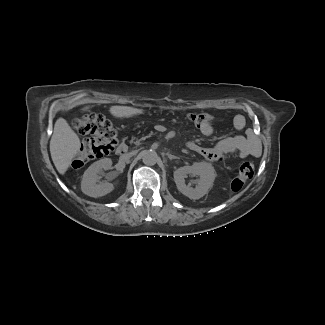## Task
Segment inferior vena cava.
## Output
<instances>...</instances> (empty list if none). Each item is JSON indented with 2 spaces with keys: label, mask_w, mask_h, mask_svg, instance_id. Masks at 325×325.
<instances>
[{
  "label": "inferior vena cava",
  "mask_w": 325,
  "mask_h": 325,
  "mask_svg": "<svg viewBox=\"0 0 325 325\" xmlns=\"http://www.w3.org/2000/svg\"><path fill=\"white\" fill-rule=\"evenodd\" d=\"M130 157H131V154H126V155L123 156V158H124L125 160H128Z\"/></svg>",
  "instance_id": "obj_1"
}]
</instances>
